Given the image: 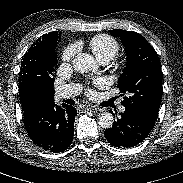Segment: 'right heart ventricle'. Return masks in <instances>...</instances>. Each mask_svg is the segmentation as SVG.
<instances>
[{
    "mask_svg": "<svg viewBox=\"0 0 183 183\" xmlns=\"http://www.w3.org/2000/svg\"><path fill=\"white\" fill-rule=\"evenodd\" d=\"M89 47L99 61H110L119 52V42L107 34L93 36L89 40Z\"/></svg>",
    "mask_w": 183,
    "mask_h": 183,
    "instance_id": "obj_1",
    "label": "right heart ventricle"
}]
</instances>
